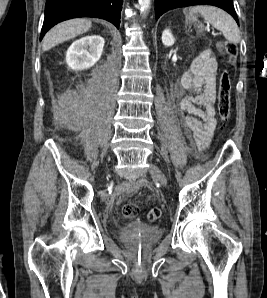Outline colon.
<instances>
[{"label": "colon", "instance_id": "colon-1", "mask_svg": "<svg viewBox=\"0 0 267 298\" xmlns=\"http://www.w3.org/2000/svg\"><path fill=\"white\" fill-rule=\"evenodd\" d=\"M220 51L227 57L228 61L233 64L236 61L238 54V48L234 43L231 42H221L219 44ZM231 111V79L230 73L224 71L221 75L219 82L218 91V112L222 124L228 122L230 118ZM139 213V208L135 203L129 202L123 205L122 215L125 218L132 219L135 218ZM162 215V211L159 208L151 209L147 214V219L149 221H155L159 219Z\"/></svg>", "mask_w": 267, "mask_h": 298}]
</instances>
